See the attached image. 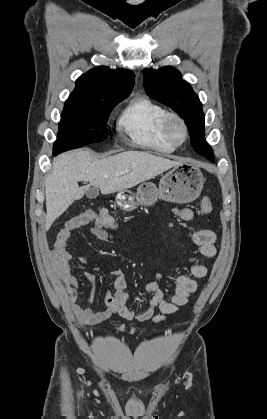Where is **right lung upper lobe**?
<instances>
[{
	"instance_id": "obj_1",
	"label": "right lung upper lobe",
	"mask_w": 267,
	"mask_h": 419,
	"mask_svg": "<svg viewBox=\"0 0 267 419\" xmlns=\"http://www.w3.org/2000/svg\"><path fill=\"white\" fill-rule=\"evenodd\" d=\"M134 80L135 75L129 70H113L106 66L93 68L76 80L68 100L87 101L129 95Z\"/></svg>"
}]
</instances>
